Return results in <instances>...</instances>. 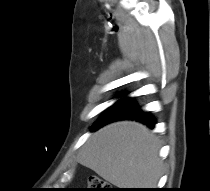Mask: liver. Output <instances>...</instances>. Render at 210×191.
Masks as SVG:
<instances>
[{"mask_svg": "<svg viewBox=\"0 0 210 191\" xmlns=\"http://www.w3.org/2000/svg\"><path fill=\"white\" fill-rule=\"evenodd\" d=\"M160 142L135 121H119L94 133L78 162L119 188H153L162 172Z\"/></svg>", "mask_w": 210, "mask_h": 191, "instance_id": "liver-1", "label": "liver"}]
</instances>
